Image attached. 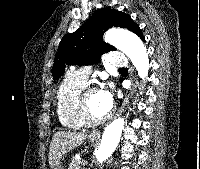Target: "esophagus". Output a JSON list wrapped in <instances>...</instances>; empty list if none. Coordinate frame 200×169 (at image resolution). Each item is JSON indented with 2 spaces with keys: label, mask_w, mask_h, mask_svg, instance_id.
<instances>
[{
  "label": "esophagus",
  "mask_w": 200,
  "mask_h": 169,
  "mask_svg": "<svg viewBox=\"0 0 200 169\" xmlns=\"http://www.w3.org/2000/svg\"><path fill=\"white\" fill-rule=\"evenodd\" d=\"M133 78H134L133 77V69L130 68V79L132 81V84H131L130 88L125 92L124 100H123L122 105H121V107H120V109H119V111H118L116 116H119L124 111V109H125V107H126V105L128 103L129 97H130V95L132 93L133 86H134ZM100 135H101L100 130H94L90 134L91 137H99Z\"/></svg>",
  "instance_id": "1"
}]
</instances>
